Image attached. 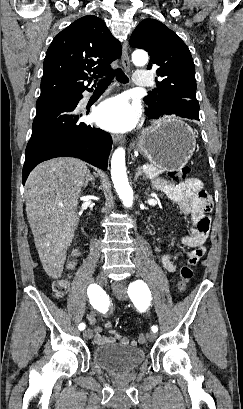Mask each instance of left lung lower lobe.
I'll return each instance as SVG.
<instances>
[{"instance_id":"1","label":"left lung lower lobe","mask_w":243,"mask_h":409,"mask_svg":"<svg viewBox=\"0 0 243 409\" xmlns=\"http://www.w3.org/2000/svg\"><path fill=\"white\" fill-rule=\"evenodd\" d=\"M146 114L149 118H152V119L160 117L159 115L152 114L150 112H147ZM171 114H174L180 117H184V118L199 120V111L194 110L191 106H186V105L177 106L173 109L168 110L167 114H164V115H171Z\"/></svg>"}]
</instances>
